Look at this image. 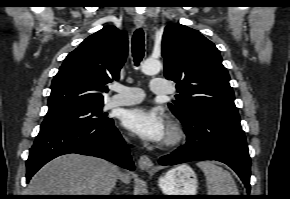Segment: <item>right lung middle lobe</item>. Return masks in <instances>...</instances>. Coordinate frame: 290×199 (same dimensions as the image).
<instances>
[{
	"mask_svg": "<svg viewBox=\"0 0 290 199\" xmlns=\"http://www.w3.org/2000/svg\"><path fill=\"white\" fill-rule=\"evenodd\" d=\"M103 102L46 114L41 130L105 124L111 119L102 112Z\"/></svg>",
	"mask_w": 290,
	"mask_h": 199,
	"instance_id": "1",
	"label": "right lung middle lobe"
}]
</instances>
